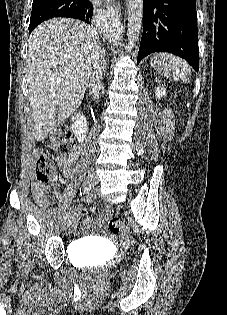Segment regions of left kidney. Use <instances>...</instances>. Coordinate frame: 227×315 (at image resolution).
<instances>
[{
	"instance_id": "left-kidney-1",
	"label": "left kidney",
	"mask_w": 227,
	"mask_h": 315,
	"mask_svg": "<svg viewBox=\"0 0 227 315\" xmlns=\"http://www.w3.org/2000/svg\"><path fill=\"white\" fill-rule=\"evenodd\" d=\"M155 94H156L157 98L160 99V97L166 96V90H165L164 87L158 86V87L156 88V90H155Z\"/></svg>"
}]
</instances>
